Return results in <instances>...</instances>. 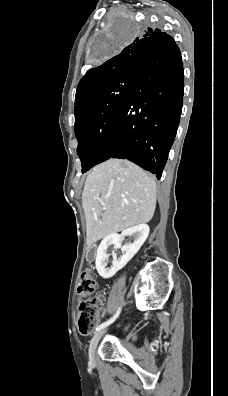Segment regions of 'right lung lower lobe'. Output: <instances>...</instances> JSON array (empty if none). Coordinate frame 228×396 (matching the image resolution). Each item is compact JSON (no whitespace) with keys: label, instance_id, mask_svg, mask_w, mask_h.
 Segmentation results:
<instances>
[{"label":"right lung lower lobe","instance_id":"obj_1","mask_svg":"<svg viewBox=\"0 0 228 396\" xmlns=\"http://www.w3.org/2000/svg\"><path fill=\"white\" fill-rule=\"evenodd\" d=\"M166 46L141 61L97 164L128 159L160 179L177 132L184 91L180 50L173 38Z\"/></svg>","mask_w":228,"mask_h":396}]
</instances>
